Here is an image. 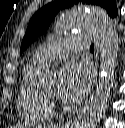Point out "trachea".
<instances>
[{
    "instance_id": "1",
    "label": "trachea",
    "mask_w": 125,
    "mask_h": 128,
    "mask_svg": "<svg viewBox=\"0 0 125 128\" xmlns=\"http://www.w3.org/2000/svg\"><path fill=\"white\" fill-rule=\"evenodd\" d=\"M90 50L94 51V45L93 44L90 46Z\"/></svg>"
}]
</instances>
